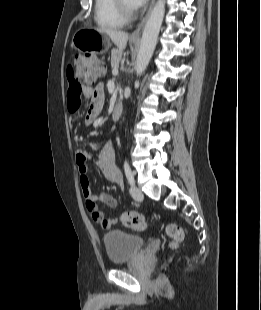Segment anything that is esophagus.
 Returning a JSON list of instances; mask_svg holds the SVG:
<instances>
[{"label": "esophagus", "mask_w": 261, "mask_h": 310, "mask_svg": "<svg viewBox=\"0 0 261 310\" xmlns=\"http://www.w3.org/2000/svg\"><path fill=\"white\" fill-rule=\"evenodd\" d=\"M154 3H155V0H152L147 14H146L145 17L142 19V21L138 24L137 28L132 32V34H131V36H130V38H131L132 40H138V39H140V36H141L142 30H143V27H144V25H145V23H146V21H147V19H148V17H149L150 11H151V9H152Z\"/></svg>", "instance_id": "obj_1"}]
</instances>
